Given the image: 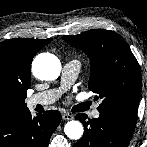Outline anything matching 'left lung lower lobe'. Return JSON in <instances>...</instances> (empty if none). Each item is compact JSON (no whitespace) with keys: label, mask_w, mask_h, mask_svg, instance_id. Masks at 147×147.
Wrapping results in <instances>:
<instances>
[{"label":"left lung lower lobe","mask_w":147,"mask_h":147,"mask_svg":"<svg viewBox=\"0 0 147 147\" xmlns=\"http://www.w3.org/2000/svg\"><path fill=\"white\" fill-rule=\"evenodd\" d=\"M86 114L76 115L85 127L83 137L74 147H127L134 129L129 128L113 117L101 115L86 121Z\"/></svg>","instance_id":"0a47b994"}]
</instances>
